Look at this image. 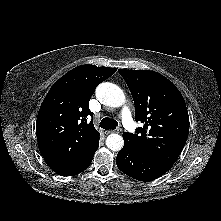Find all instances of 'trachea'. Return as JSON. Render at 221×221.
<instances>
[{
  "mask_svg": "<svg viewBox=\"0 0 221 221\" xmlns=\"http://www.w3.org/2000/svg\"><path fill=\"white\" fill-rule=\"evenodd\" d=\"M118 126V122L114 119H111V118H103L101 123H100V127L103 128V129H116V127Z\"/></svg>",
  "mask_w": 221,
  "mask_h": 221,
  "instance_id": "obj_1",
  "label": "trachea"
}]
</instances>
